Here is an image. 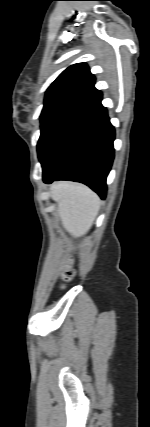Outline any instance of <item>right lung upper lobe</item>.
<instances>
[{"instance_id": "right-lung-upper-lobe-1", "label": "right lung upper lobe", "mask_w": 150, "mask_h": 427, "mask_svg": "<svg viewBox=\"0 0 150 427\" xmlns=\"http://www.w3.org/2000/svg\"><path fill=\"white\" fill-rule=\"evenodd\" d=\"M95 77L86 63H77L64 70L46 91L44 109L74 108L83 110L99 99L102 93L94 87Z\"/></svg>"}]
</instances>
